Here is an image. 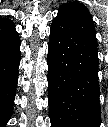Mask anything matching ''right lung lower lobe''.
I'll return each mask as SVG.
<instances>
[{"mask_svg":"<svg viewBox=\"0 0 108 127\" xmlns=\"http://www.w3.org/2000/svg\"><path fill=\"white\" fill-rule=\"evenodd\" d=\"M19 63V35L15 24L3 19L0 21V125L6 124L12 114Z\"/></svg>","mask_w":108,"mask_h":127,"instance_id":"right-lung-lower-lobe-1","label":"right lung lower lobe"}]
</instances>
